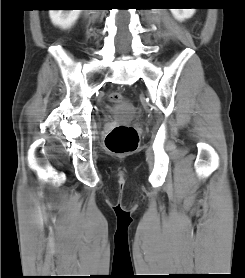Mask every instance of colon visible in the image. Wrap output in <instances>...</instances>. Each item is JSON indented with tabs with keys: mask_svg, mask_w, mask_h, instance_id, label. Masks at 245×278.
Returning <instances> with one entry per match:
<instances>
[{
	"mask_svg": "<svg viewBox=\"0 0 245 278\" xmlns=\"http://www.w3.org/2000/svg\"><path fill=\"white\" fill-rule=\"evenodd\" d=\"M110 100L117 103L124 102L119 93L109 96ZM139 137L137 130L130 125H117L106 136L105 146L107 150L116 155L130 154L138 148Z\"/></svg>",
	"mask_w": 245,
	"mask_h": 278,
	"instance_id": "1",
	"label": "colon"
}]
</instances>
